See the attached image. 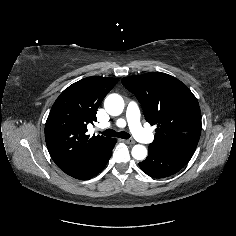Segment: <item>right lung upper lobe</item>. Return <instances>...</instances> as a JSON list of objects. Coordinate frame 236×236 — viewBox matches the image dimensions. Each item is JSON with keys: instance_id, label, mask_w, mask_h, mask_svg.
<instances>
[{"instance_id": "cb5924a9", "label": "right lung upper lobe", "mask_w": 236, "mask_h": 236, "mask_svg": "<svg viewBox=\"0 0 236 236\" xmlns=\"http://www.w3.org/2000/svg\"><path fill=\"white\" fill-rule=\"evenodd\" d=\"M117 78L87 77L66 88L53 104L45 124V140L56 165L70 175L79 170L109 139L86 134L96 111Z\"/></svg>"}]
</instances>
